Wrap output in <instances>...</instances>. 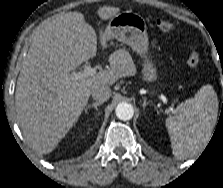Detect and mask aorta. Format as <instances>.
Segmentation results:
<instances>
[{"mask_svg":"<svg viewBox=\"0 0 223 188\" xmlns=\"http://www.w3.org/2000/svg\"><path fill=\"white\" fill-rule=\"evenodd\" d=\"M116 116L120 120H130L134 115V109L133 106L129 103H119L115 110Z\"/></svg>","mask_w":223,"mask_h":188,"instance_id":"1","label":"aorta"}]
</instances>
